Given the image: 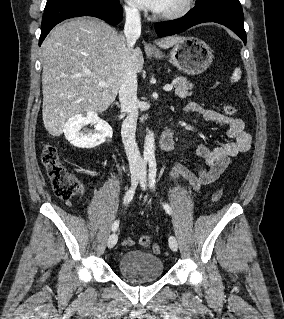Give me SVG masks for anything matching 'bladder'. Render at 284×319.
Listing matches in <instances>:
<instances>
[{"label": "bladder", "mask_w": 284, "mask_h": 319, "mask_svg": "<svg viewBox=\"0 0 284 319\" xmlns=\"http://www.w3.org/2000/svg\"><path fill=\"white\" fill-rule=\"evenodd\" d=\"M118 269L128 280L144 283L158 279L163 274L164 263L157 255L130 250L120 256Z\"/></svg>", "instance_id": "31cf9c89"}]
</instances>
